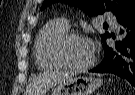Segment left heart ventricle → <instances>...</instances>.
Listing matches in <instances>:
<instances>
[{
	"mask_svg": "<svg viewBox=\"0 0 135 95\" xmlns=\"http://www.w3.org/2000/svg\"><path fill=\"white\" fill-rule=\"evenodd\" d=\"M64 55L70 63L80 65L88 62L93 52L85 38H74L66 44Z\"/></svg>",
	"mask_w": 135,
	"mask_h": 95,
	"instance_id": "left-heart-ventricle-1",
	"label": "left heart ventricle"
}]
</instances>
